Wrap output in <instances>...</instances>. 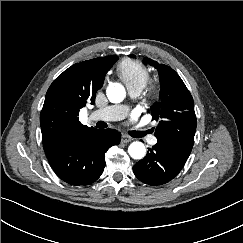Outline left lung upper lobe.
I'll use <instances>...</instances> for the list:
<instances>
[{"label":"left lung upper lobe","instance_id":"obj_1","mask_svg":"<svg viewBox=\"0 0 243 243\" xmlns=\"http://www.w3.org/2000/svg\"><path fill=\"white\" fill-rule=\"evenodd\" d=\"M147 62L160 72L163 84L160 100L151 109L153 119L159 120L155 129L157 143L189 156L197 124L193 98L172 68L151 59Z\"/></svg>","mask_w":243,"mask_h":243}]
</instances>
